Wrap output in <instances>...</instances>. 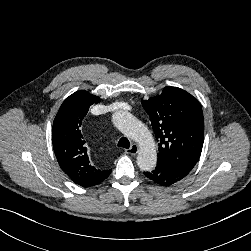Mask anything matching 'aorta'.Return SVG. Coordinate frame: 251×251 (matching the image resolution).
<instances>
[{"label": "aorta", "mask_w": 251, "mask_h": 251, "mask_svg": "<svg viewBox=\"0 0 251 251\" xmlns=\"http://www.w3.org/2000/svg\"><path fill=\"white\" fill-rule=\"evenodd\" d=\"M112 121L125 136L138 142L140 152L137 156V165L140 170H154L157 163V152L153 136L147 127L126 111L115 112Z\"/></svg>", "instance_id": "aorta-1"}]
</instances>
